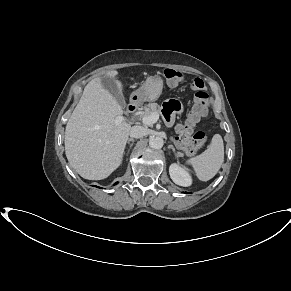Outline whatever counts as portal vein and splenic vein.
<instances>
[{"mask_svg": "<svg viewBox=\"0 0 291 291\" xmlns=\"http://www.w3.org/2000/svg\"><path fill=\"white\" fill-rule=\"evenodd\" d=\"M158 119H159V114L158 113H156V112H154V113H152L151 115H149V116H147V117H143L142 118V122H143V124H145V125H147V126H151V125H153L154 123H156L157 121H158ZM125 119H124V117L123 116H121V117H117L116 119H115V124L116 125H118V124H120L122 121H124Z\"/></svg>", "mask_w": 291, "mask_h": 291, "instance_id": "portal-vein-and-splenic-vein-1", "label": "portal vein and splenic vein"}]
</instances>
